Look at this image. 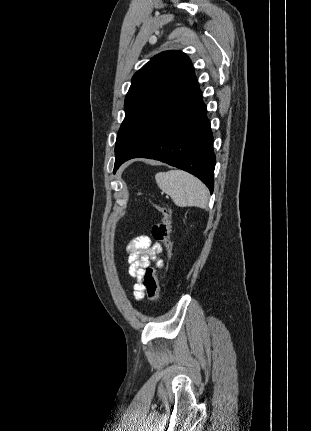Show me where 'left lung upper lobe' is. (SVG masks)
I'll list each match as a JSON object with an SVG mask.
<instances>
[{
    "label": "left lung upper lobe",
    "mask_w": 311,
    "mask_h": 431,
    "mask_svg": "<svg viewBox=\"0 0 311 431\" xmlns=\"http://www.w3.org/2000/svg\"><path fill=\"white\" fill-rule=\"evenodd\" d=\"M195 76L189 57L181 51L154 56L132 77L125 98V118L115 144V156L124 153L150 120Z\"/></svg>",
    "instance_id": "left-lung-upper-lobe-1"
}]
</instances>
